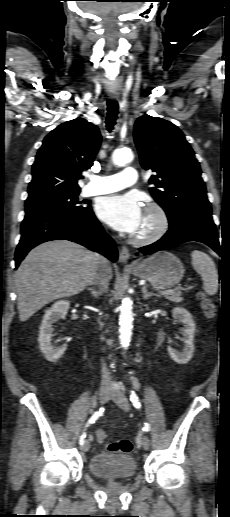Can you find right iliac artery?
I'll list each match as a JSON object with an SVG mask.
<instances>
[{
  "label": "right iliac artery",
  "instance_id": "82829eb1",
  "mask_svg": "<svg viewBox=\"0 0 230 517\" xmlns=\"http://www.w3.org/2000/svg\"><path fill=\"white\" fill-rule=\"evenodd\" d=\"M103 412H104V408L102 407V408H100V409H99V411L95 412V413L91 416V418L88 420V423H87V425H86V426H88L89 424L94 423V422H95V421H96V420H97V419H98V418L103 414ZM85 436H86V435H85V433H83V434L80 436V440H79L80 445H83V444H84V442H85V441H84Z\"/></svg>",
  "mask_w": 230,
  "mask_h": 517
}]
</instances>
